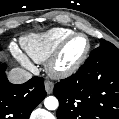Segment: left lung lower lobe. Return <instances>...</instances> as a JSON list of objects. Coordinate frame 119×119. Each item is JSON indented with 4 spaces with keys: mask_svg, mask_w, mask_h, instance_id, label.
Returning a JSON list of instances; mask_svg holds the SVG:
<instances>
[{
    "mask_svg": "<svg viewBox=\"0 0 119 119\" xmlns=\"http://www.w3.org/2000/svg\"><path fill=\"white\" fill-rule=\"evenodd\" d=\"M53 93L58 119H119V49L105 41Z\"/></svg>",
    "mask_w": 119,
    "mask_h": 119,
    "instance_id": "left-lung-lower-lobe-1",
    "label": "left lung lower lobe"
}]
</instances>
